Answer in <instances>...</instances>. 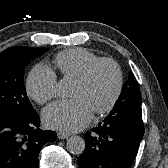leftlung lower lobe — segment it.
<instances>
[{"instance_id": "1", "label": "left lung lower lobe", "mask_w": 168, "mask_h": 168, "mask_svg": "<svg viewBox=\"0 0 168 168\" xmlns=\"http://www.w3.org/2000/svg\"><path fill=\"white\" fill-rule=\"evenodd\" d=\"M144 134L141 109L110 112L87 133L85 150L78 159L80 168H130Z\"/></svg>"}]
</instances>
